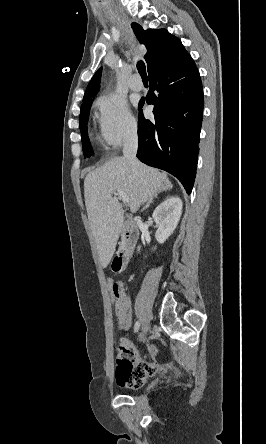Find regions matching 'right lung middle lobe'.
Returning a JSON list of instances; mask_svg holds the SVG:
<instances>
[{
	"label": "right lung middle lobe",
	"instance_id": "right-lung-middle-lobe-1",
	"mask_svg": "<svg viewBox=\"0 0 266 444\" xmlns=\"http://www.w3.org/2000/svg\"><path fill=\"white\" fill-rule=\"evenodd\" d=\"M92 104V100L83 102L81 105V111H80V131L82 136V146H83V154L86 157H90L93 154L91 144L89 142L88 138V131H87V121L89 116L90 107Z\"/></svg>",
	"mask_w": 266,
	"mask_h": 444
}]
</instances>
